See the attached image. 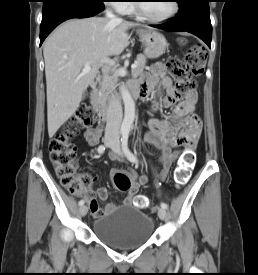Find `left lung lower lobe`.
<instances>
[{
  "label": "left lung lower lobe",
  "mask_w": 258,
  "mask_h": 275,
  "mask_svg": "<svg viewBox=\"0 0 258 275\" xmlns=\"http://www.w3.org/2000/svg\"><path fill=\"white\" fill-rule=\"evenodd\" d=\"M210 0H178L179 13L168 23L152 25L168 31H187L211 47Z\"/></svg>",
  "instance_id": "1"
}]
</instances>
